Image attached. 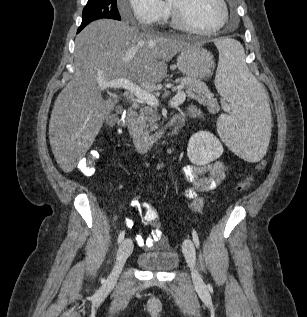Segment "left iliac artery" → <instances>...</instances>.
Wrapping results in <instances>:
<instances>
[{
	"label": "left iliac artery",
	"mask_w": 307,
	"mask_h": 317,
	"mask_svg": "<svg viewBox=\"0 0 307 317\" xmlns=\"http://www.w3.org/2000/svg\"><path fill=\"white\" fill-rule=\"evenodd\" d=\"M192 236H193V241H194L196 247L199 248V245H200L199 238H198V235H197L195 230H193Z\"/></svg>",
	"instance_id": "obj_1"
}]
</instances>
